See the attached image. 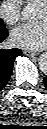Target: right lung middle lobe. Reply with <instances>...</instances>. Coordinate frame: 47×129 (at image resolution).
Here are the masks:
<instances>
[{
  "label": "right lung middle lobe",
  "instance_id": "obj_1",
  "mask_svg": "<svg viewBox=\"0 0 47 129\" xmlns=\"http://www.w3.org/2000/svg\"><path fill=\"white\" fill-rule=\"evenodd\" d=\"M5 27L3 22L0 20V28Z\"/></svg>",
  "mask_w": 47,
  "mask_h": 129
}]
</instances>
